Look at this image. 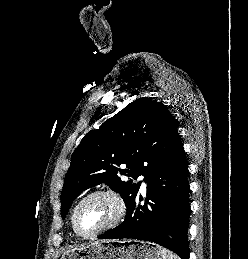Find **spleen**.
<instances>
[{"instance_id": "1", "label": "spleen", "mask_w": 248, "mask_h": 259, "mask_svg": "<svg viewBox=\"0 0 248 259\" xmlns=\"http://www.w3.org/2000/svg\"><path fill=\"white\" fill-rule=\"evenodd\" d=\"M161 257H162V259H180L174 253H172L171 251H169L165 248H161Z\"/></svg>"}]
</instances>
